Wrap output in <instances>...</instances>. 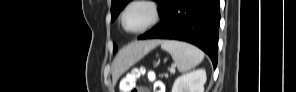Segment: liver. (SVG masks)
Wrapping results in <instances>:
<instances>
[{
	"mask_svg": "<svg viewBox=\"0 0 296 92\" xmlns=\"http://www.w3.org/2000/svg\"><path fill=\"white\" fill-rule=\"evenodd\" d=\"M159 44V40L136 41L124 47L117 54L112 64L113 83H116L126 70Z\"/></svg>",
	"mask_w": 296,
	"mask_h": 92,
	"instance_id": "6515ba94",
	"label": "liver"
}]
</instances>
